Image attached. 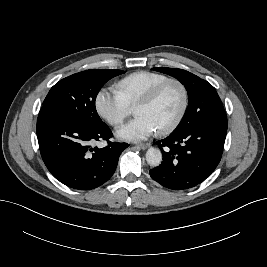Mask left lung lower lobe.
Wrapping results in <instances>:
<instances>
[{"mask_svg": "<svg viewBox=\"0 0 267 267\" xmlns=\"http://www.w3.org/2000/svg\"><path fill=\"white\" fill-rule=\"evenodd\" d=\"M226 133L227 117L211 113L203 121L157 141L163 161L150 170L151 178L171 190L197 186L218 165Z\"/></svg>", "mask_w": 267, "mask_h": 267, "instance_id": "left-lung-lower-lobe-1", "label": "left lung lower lobe"}]
</instances>
